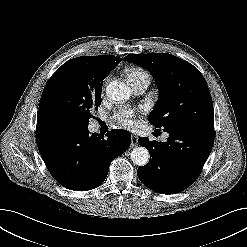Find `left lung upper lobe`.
Returning <instances> with one entry per match:
<instances>
[{
	"mask_svg": "<svg viewBox=\"0 0 247 247\" xmlns=\"http://www.w3.org/2000/svg\"><path fill=\"white\" fill-rule=\"evenodd\" d=\"M125 61L154 76L159 99L148 120L165 132L214 133L213 102L203 75L189 62L168 53L129 54Z\"/></svg>",
	"mask_w": 247,
	"mask_h": 247,
	"instance_id": "left-lung-upper-lobe-1",
	"label": "left lung upper lobe"
}]
</instances>
